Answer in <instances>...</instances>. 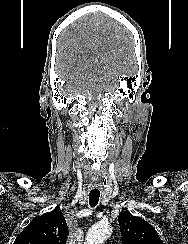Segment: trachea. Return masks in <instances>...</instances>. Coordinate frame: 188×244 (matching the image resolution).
Masks as SVG:
<instances>
[{"label": "trachea", "instance_id": "trachea-1", "mask_svg": "<svg viewBox=\"0 0 188 244\" xmlns=\"http://www.w3.org/2000/svg\"><path fill=\"white\" fill-rule=\"evenodd\" d=\"M99 188H92L91 192L89 193V204L91 207H95L100 198Z\"/></svg>", "mask_w": 188, "mask_h": 244}]
</instances>
